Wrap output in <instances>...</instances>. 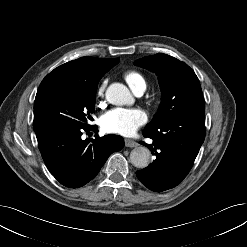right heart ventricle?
<instances>
[{"mask_svg":"<svg viewBox=\"0 0 247 247\" xmlns=\"http://www.w3.org/2000/svg\"><path fill=\"white\" fill-rule=\"evenodd\" d=\"M123 77L134 92L138 89H145L146 87L144 76L137 70H127L124 72Z\"/></svg>","mask_w":247,"mask_h":247,"instance_id":"right-heart-ventricle-1","label":"right heart ventricle"}]
</instances>
